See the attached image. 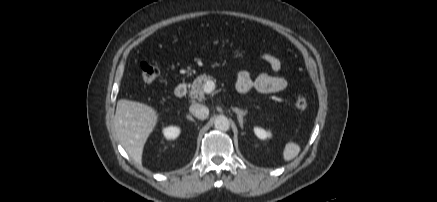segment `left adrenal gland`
Listing matches in <instances>:
<instances>
[{"label":"left adrenal gland","instance_id":"a2214340","mask_svg":"<svg viewBox=\"0 0 437 202\" xmlns=\"http://www.w3.org/2000/svg\"><path fill=\"white\" fill-rule=\"evenodd\" d=\"M233 112L237 114V118L240 124L241 129H243V117L247 114V110H241L237 107L232 108Z\"/></svg>","mask_w":437,"mask_h":202}]
</instances>
